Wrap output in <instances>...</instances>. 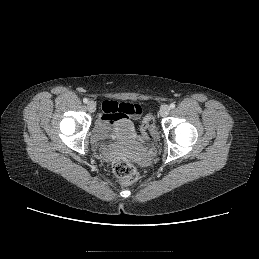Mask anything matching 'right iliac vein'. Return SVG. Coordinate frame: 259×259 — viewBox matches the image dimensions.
<instances>
[{
	"instance_id": "right-iliac-vein-1",
	"label": "right iliac vein",
	"mask_w": 259,
	"mask_h": 259,
	"mask_svg": "<svg viewBox=\"0 0 259 259\" xmlns=\"http://www.w3.org/2000/svg\"><path fill=\"white\" fill-rule=\"evenodd\" d=\"M87 108H88V110H89L90 112H95V110H96V104H95V102H94V101H89V102L87 103Z\"/></svg>"
}]
</instances>
